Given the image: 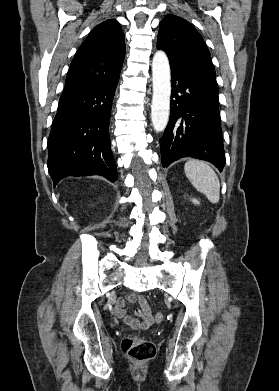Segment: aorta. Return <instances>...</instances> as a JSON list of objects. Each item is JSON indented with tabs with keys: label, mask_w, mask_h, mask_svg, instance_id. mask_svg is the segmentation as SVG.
Wrapping results in <instances>:
<instances>
[{
	"label": "aorta",
	"mask_w": 279,
	"mask_h": 391,
	"mask_svg": "<svg viewBox=\"0 0 279 391\" xmlns=\"http://www.w3.org/2000/svg\"><path fill=\"white\" fill-rule=\"evenodd\" d=\"M153 97L151 120L157 132L163 131L170 114L171 76L168 57L157 51L152 60Z\"/></svg>",
	"instance_id": "aorta-1"
}]
</instances>
